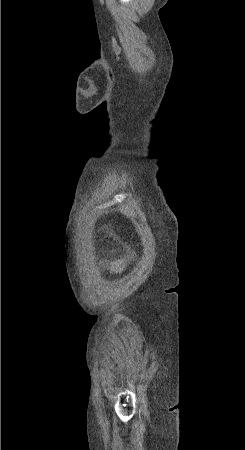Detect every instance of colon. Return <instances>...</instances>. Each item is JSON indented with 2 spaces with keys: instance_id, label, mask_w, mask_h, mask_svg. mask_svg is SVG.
Masks as SVG:
<instances>
[{
  "instance_id": "colon-1",
  "label": "colon",
  "mask_w": 245,
  "mask_h": 450,
  "mask_svg": "<svg viewBox=\"0 0 245 450\" xmlns=\"http://www.w3.org/2000/svg\"><path fill=\"white\" fill-rule=\"evenodd\" d=\"M123 265V261L122 260H117L116 262H114V267L115 268H121Z\"/></svg>"
}]
</instances>
